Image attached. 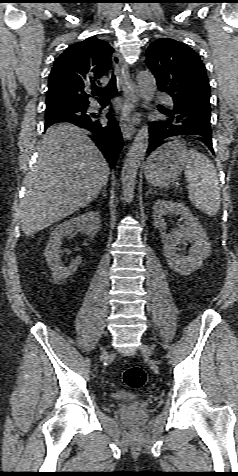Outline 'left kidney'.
Returning <instances> with one entry per match:
<instances>
[{"instance_id":"obj_1","label":"left kidney","mask_w":238,"mask_h":476,"mask_svg":"<svg viewBox=\"0 0 238 476\" xmlns=\"http://www.w3.org/2000/svg\"><path fill=\"white\" fill-rule=\"evenodd\" d=\"M169 213L181 214L185 222L178 229L166 234L164 215ZM153 218L154 226L161 232L163 253L170 268L181 275H190L199 269L208 257L211 247L206 232L191 211L182 203L160 199L154 203ZM186 242L192 244L189 255H179L177 246Z\"/></svg>"}]
</instances>
